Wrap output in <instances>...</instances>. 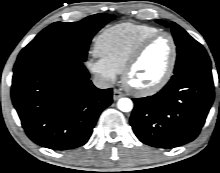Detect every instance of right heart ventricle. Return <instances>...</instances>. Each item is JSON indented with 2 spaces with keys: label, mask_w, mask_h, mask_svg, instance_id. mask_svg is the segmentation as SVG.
Segmentation results:
<instances>
[{
  "label": "right heart ventricle",
  "mask_w": 220,
  "mask_h": 173,
  "mask_svg": "<svg viewBox=\"0 0 220 173\" xmlns=\"http://www.w3.org/2000/svg\"><path fill=\"white\" fill-rule=\"evenodd\" d=\"M159 29L145 24L125 22L105 28L95 42L96 54L116 73L123 67L137 45Z\"/></svg>",
  "instance_id": "e07e8e85"
}]
</instances>
